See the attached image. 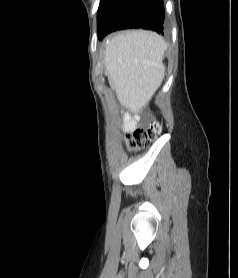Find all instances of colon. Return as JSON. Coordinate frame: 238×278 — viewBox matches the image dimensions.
I'll return each mask as SVG.
<instances>
[{"label": "colon", "instance_id": "obj_1", "mask_svg": "<svg viewBox=\"0 0 238 278\" xmlns=\"http://www.w3.org/2000/svg\"><path fill=\"white\" fill-rule=\"evenodd\" d=\"M161 132V126L158 123H153L147 129L138 128L126 135V145L129 150L146 146L154 140Z\"/></svg>", "mask_w": 238, "mask_h": 278}]
</instances>
